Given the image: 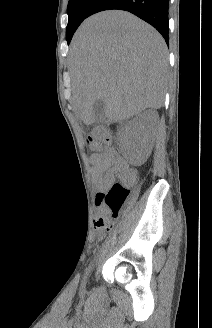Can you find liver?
I'll use <instances>...</instances> for the list:
<instances>
[{
    "label": "liver",
    "mask_w": 212,
    "mask_h": 328,
    "mask_svg": "<svg viewBox=\"0 0 212 328\" xmlns=\"http://www.w3.org/2000/svg\"><path fill=\"white\" fill-rule=\"evenodd\" d=\"M167 47L161 35L134 15L118 10L87 18L69 53L72 105L85 124L95 121L93 104L104 102L103 118L122 121L164 102Z\"/></svg>",
    "instance_id": "6515ba94"
}]
</instances>
